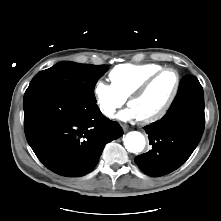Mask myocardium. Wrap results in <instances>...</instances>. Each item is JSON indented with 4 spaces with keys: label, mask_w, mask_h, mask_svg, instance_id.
<instances>
[{
    "label": "myocardium",
    "mask_w": 221,
    "mask_h": 221,
    "mask_svg": "<svg viewBox=\"0 0 221 221\" xmlns=\"http://www.w3.org/2000/svg\"><path fill=\"white\" fill-rule=\"evenodd\" d=\"M171 71L175 74L176 77V84L174 87V90L171 94V96L169 97L168 101L166 102V104L164 105V107L158 111L157 113L146 117V118H141L138 119L141 123L143 124H150V123H154L158 120H160L161 118H163L171 109L174 101L176 100V97L179 93V89H180V85H181V78H180V74L179 72L172 68V67H163L162 69L156 71L155 73L151 74L134 92H132L128 99H127V103L129 104L130 101H132L135 98H138L140 96H142L151 86V84L163 73Z\"/></svg>",
    "instance_id": "obj_1"
}]
</instances>
